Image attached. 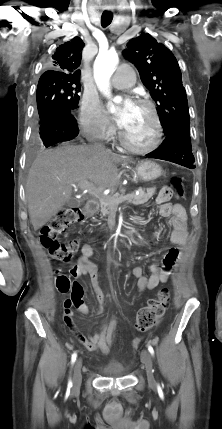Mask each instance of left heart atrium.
<instances>
[{
	"mask_svg": "<svg viewBox=\"0 0 222 429\" xmlns=\"http://www.w3.org/2000/svg\"><path fill=\"white\" fill-rule=\"evenodd\" d=\"M134 107V102L130 99H126L122 105L121 111L116 116L115 120L119 127L123 128L126 124L127 118Z\"/></svg>",
	"mask_w": 222,
	"mask_h": 429,
	"instance_id": "39dd6f15",
	"label": "left heart atrium"
}]
</instances>
